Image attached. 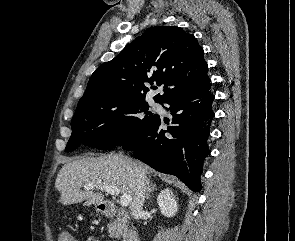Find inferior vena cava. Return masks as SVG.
<instances>
[{"instance_id":"602c4592","label":"inferior vena cava","mask_w":295,"mask_h":241,"mask_svg":"<svg viewBox=\"0 0 295 241\" xmlns=\"http://www.w3.org/2000/svg\"><path fill=\"white\" fill-rule=\"evenodd\" d=\"M134 173L136 190L134 193L131 211L134 218L137 219L142 214L143 204L145 200L146 174L138 167H134Z\"/></svg>"}]
</instances>
